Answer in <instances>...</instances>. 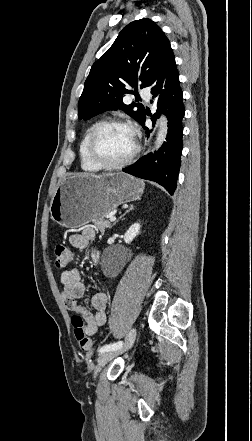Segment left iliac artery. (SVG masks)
I'll list each match as a JSON object with an SVG mask.
<instances>
[{
    "mask_svg": "<svg viewBox=\"0 0 252 441\" xmlns=\"http://www.w3.org/2000/svg\"><path fill=\"white\" fill-rule=\"evenodd\" d=\"M122 346H123V342L118 341L116 343L106 344V345L102 346L98 351L100 353H103L105 351L120 349Z\"/></svg>",
    "mask_w": 252,
    "mask_h": 441,
    "instance_id": "1",
    "label": "left iliac artery"
}]
</instances>
